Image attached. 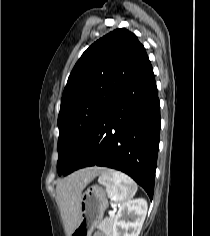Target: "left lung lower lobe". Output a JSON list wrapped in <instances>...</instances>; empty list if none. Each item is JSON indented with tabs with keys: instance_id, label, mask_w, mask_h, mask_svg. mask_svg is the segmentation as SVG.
Instances as JSON below:
<instances>
[{
	"instance_id": "left-lung-lower-lobe-1",
	"label": "left lung lower lobe",
	"mask_w": 210,
	"mask_h": 236,
	"mask_svg": "<svg viewBox=\"0 0 210 236\" xmlns=\"http://www.w3.org/2000/svg\"><path fill=\"white\" fill-rule=\"evenodd\" d=\"M160 121L149 63L100 115L63 175L88 166L110 167L132 177L152 200Z\"/></svg>"
}]
</instances>
